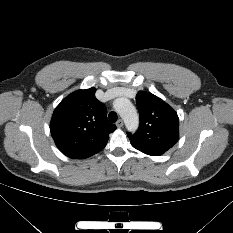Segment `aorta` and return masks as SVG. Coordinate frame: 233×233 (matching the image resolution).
I'll use <instances>...</instances> for the list:
<instances>
[{
  "label": "aorta",
  "instance_id": "762f6f07",
  "mask_svg": "<svg viewBox=\"0 0 233 233\" xmlns=\"http://www.w3.org/2000/svg\"><path fill=\"white\" fill-rule=\"evenodd\" d=\"M113 106L115 110L119 113L121 118L124 120L125 126L130 132L137 130L139 125V117L136 108L127 98H117Z\"/></svg>",
  "mask_w": 233,
  "mask_h": 233
}]
</instances>
